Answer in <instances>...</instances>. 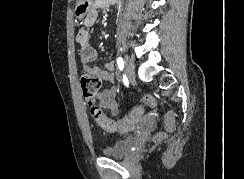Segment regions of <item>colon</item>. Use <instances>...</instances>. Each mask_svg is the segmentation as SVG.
Returning a JSON list of instances; mask_svg holds the SVG:
<instances>
[{"mask_svg":"<svg viewBox=\"0 0 244 179\" xmlns=\"http://www.w3.org/2000/svg\"><path fill=\"white\" fill-rule=\"evenodd\" d=\"M80 87L84 98L90 106L91 116L93 120L101 127L102 130L107 132H127L131 130L137 120L141 119V110L145 109L144 105H136L135 108H128L129 115L121 121L110 120L101 109L100 106H91L90 102L95 101L97 93L100 91L101 79L94 74H82L80 78ZM143 102L146 103L148 109H157V101L153 95H144ZM178 108L174 107L170 112H166L164 125L168 130L167 138L171 137L170 133H177V126L175 125L176 117L178 115Z\"/></svg>","mask_w":244,"mask_h":179,"instance_id":"5ec220e1","label":"colon"}]
</instances>
